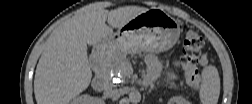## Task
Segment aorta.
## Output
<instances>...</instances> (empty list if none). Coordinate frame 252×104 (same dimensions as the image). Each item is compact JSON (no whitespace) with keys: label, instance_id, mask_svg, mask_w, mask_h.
Listing matches in <instances>:
<instances>
[{"label":"aorta","instance_id":"aorta-1","mask_svg":"<svg viewBox=\"0 0 252 104\" xmlns=\"http://www.w3.org/2000/svg\"><path fill=\"white\" fill-rule=\"evenodd\" d=\"M129 101L133 104H137L141 101V94L139 91H131L128 95Z\"/></svg>","mask_w":252,"mask_h":104}]
</instances>
